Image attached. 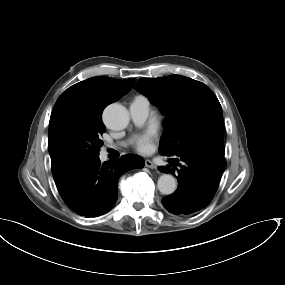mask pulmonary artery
Wrapping results in <instances>:
<instances>
[{
  "mask_svg": "<svg viewBox=\"0 0 285 285\" xmlns=\"http://www.w3.org/2000/svg\"><path fill=\"white\" fill-rule=\"evenodd\" d=\"M149 111L150 103L148 98L145 96H137L129 104L130 117L136 125H141L146 121ZM121 145V142L109 143L105 145V150L117 149Z\"/></svg>",
  "mask_w": 285,
  "mask_h": 285,
  "instance_id": "pulmonary-artery-1",
  "label": "pulmonary artery"
}]
</instances>
